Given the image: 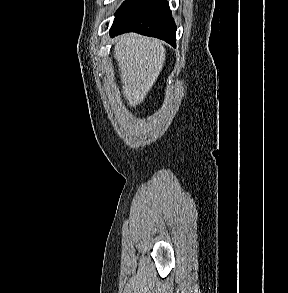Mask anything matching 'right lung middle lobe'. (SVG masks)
Instances as JSON below:
<instances>
[{
    "label": "right lung middle lobe",
    "instance_id": "right-lung-middle-lobe-1",
    "mask_svg": "<svg viewBox=\"0 0 288 293\" xmlns=\"http://www.w3.org/2000/svg\"><path fill=\"white\" fill-rule=\"evenodd\" d=\"M130 0H126L122 3V5L120 6V8L117 10L116 14L129 2Z\"/></svg>",
    "mask_w": 288,
    "mask_h": 293
}]
</instances>
